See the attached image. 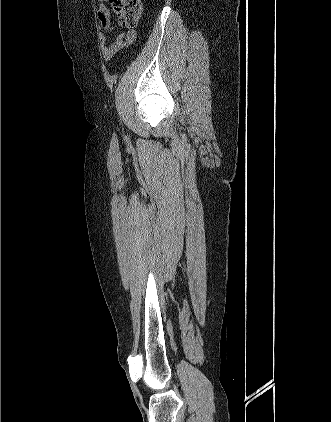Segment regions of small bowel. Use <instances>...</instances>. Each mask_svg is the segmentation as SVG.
I'll return each mask as SVG.
<instances>
[{"label":"small bowel","instance_id":"1","mask_svg":"<svg viewBox=\"0 0 331 422\" xmlns=\"http://www.w3.org/2000/svg\"><path fill=\"white\" fill-rule=\"evenodd\" d=\"M106 0H99L98 18H99V44L102 48L103 57L106 61H110L123 47L134 40L135 32L129 30L127 32L121 31L113 42L108 43L107 35L115 30V27L110 24L109 10L105 6Z\"/></svg>","mask_w":331,"mask_h":422}]
</instances>
